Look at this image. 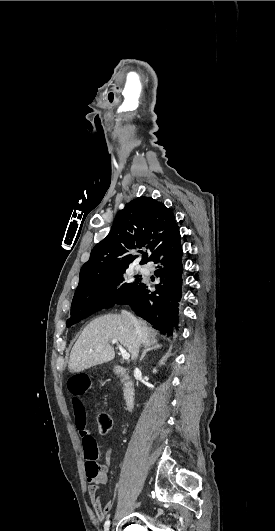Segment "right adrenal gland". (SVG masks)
Masks as SVG:
<instances>
[{
  "label": "right adrenal gland",
  "instance_id": "2a0ac1e0",
  "mask_svg": "<svg viewBox=\"0 0 275 531\" xmlns=\"http://www.w3.org/2000/svg\"><path fill=\"white\" fill-rule=\"evenodd\" d=\"M162 345H159L158 341H151L149 345H145L144 351L141 355L140 361H143L144 357H146L147 353H150V351H157V349H161Z\"/></svg>",
  "mask_w": 275,
  "mask_h": 531
}]
</instances>
